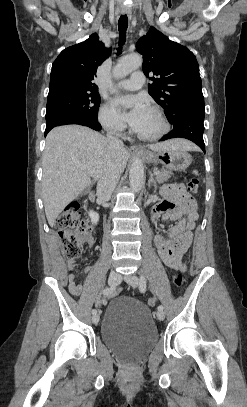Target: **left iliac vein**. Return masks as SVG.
<instances>
[{
    "instance_id": "left-iliac-vein-1",
    "label": "left iliac vein",
    "mask_w": 247,
    "mask_h": 407,
    "mask_svg": "<svg viewBox=\"0 0 247 407\" xmlns=\"http://www.w3.org/2000/svg\"><path fill=\"white\" fill-rule=\"evenodd\" d=\"M124 280H125L130 286H132L133 288H137L138 285H139V283H140L139 278H138L135 274H131V275L125 276V277H124ZM156 315H157V319L160 320V321L164 320V318H165V314H164L163 311H157V314H156Z\"/></svg>"
}]
</instances>
